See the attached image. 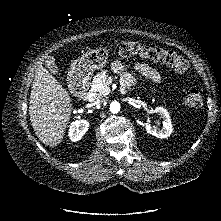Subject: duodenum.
<instances>
[{
	"label": "duodenum",
	"instance_id": "1",
	"mask_svg": "<svg viewBox=\"0 0 221 221\" xmlns=\"http://www.w3.org/2000/svg\"><path fill=\"white\" fill-rule=\"evenodd\" d=\"M76 93L86 101L94 100V93L88 81L79 82L77 84Z\"/></svg>",
	"mask_w": 221,
	"mask_h": 221
}]
</instances>
